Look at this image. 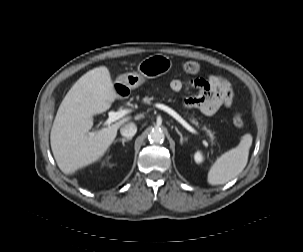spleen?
I'll return each mask as SVG.
<instances>
[{
	"label": "spleen",
	"instance_id": "obj_1",
	"mask_svg": "<svg viewBox=\"0 0 303 252\" xmlns=\"http://www.w3.org/2000/svg\"><path fill=\"white\" fill-rule=\"evenodd\" d=\"M252 141V135L245 134L237 147L218 157L208 172V183L221 185L238 176L247 165Z\"/></svg>",
	"mask_w": 303,
	"mask_h": 252
}]
</instances>
